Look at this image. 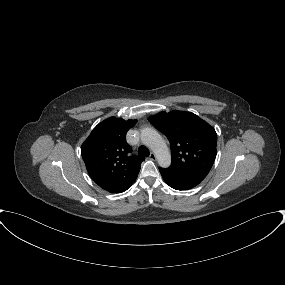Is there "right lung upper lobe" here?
I'll use <instances>...</instances> for the list:
<instances>
[{
    "label": "right lung upper lobe",
    "instance_id": "obj_1",
    "mask_svg": "<svg viewBox=\"0 0 285 285\" xmlns=\"http://www.w3.org/2000/svg\"><path fill=\"white\" fill-rule=\"evenodd\" d=\"M136 120L111 117L99 123L81 147V155L94 182L111 193L126 191L136 180L144 158L131 157L127 131Z\"/></svg>",
    "mask_w": 285,
    "mask_h": 285
}]
</instances>
